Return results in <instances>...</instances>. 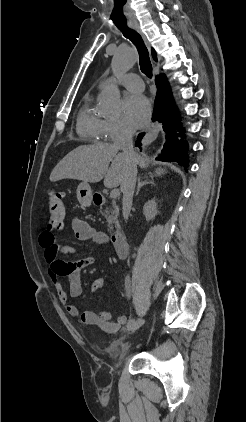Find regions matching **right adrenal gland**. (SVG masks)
I'll return each mask as SVG.
<instances>
[{
	"label": "right adrenal gland",
	"mask_w": 246,
	"mask_h": 422,
	"mask_svg": "<svg viewBox=\"0 0 246 422\" xmlns=\"http://www.w3.org/2000/svg\"><path fill=\"white\" fill-rule=\"evenodd\" d=\"M147 184L154 185L153 178H152V180H148L147 177H144V178L139 177L138 180H137V189H136L135 195L137 196L139 194L140 189Z\"/></svg>",
	"instance_id": "right-adrenal-gland-1"
}]
</instances>
